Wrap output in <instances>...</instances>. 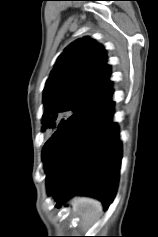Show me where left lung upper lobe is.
<instances>
[{
  "label": "left lung upper lobe",
  "mask_w": 158,
  "mask_h": 237,
  "mask_svg": "<svg viewBox=\"0 0 158 237\" xmlns=\"http://www.w3.org/2000/svg\"><path fill=\"white\" fill-rule=\"evenodd\" d=\"M110 67L103 46L84 37L59 56L44 88L42 131L57 129L71 115L111 89Z\"/></svg>",
  "instance_id": "1"
}]
</instances>
